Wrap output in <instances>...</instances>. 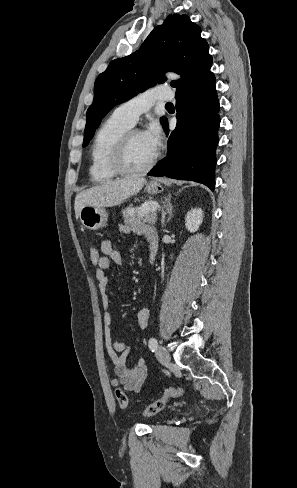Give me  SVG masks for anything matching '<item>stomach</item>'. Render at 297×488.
I'll list each match as a JSON object with an SVG mask.
<instances>
[{"instance_id":"obj_1","label":"stomach","mask_w":297,"mask_h":488,"mask_svg":"<svg viewBox=\"0 0 297 488\" xmlns=\"http://www.w3.org/2000/svg\"><path fill=\"white\" fill-rule=\"evenodd\" d=\"M145 191L149 194H158L163 191V186L157 182H149ZM79 218L83 226L90 230H98L102 228L108 220V212L103 207L84 206L80 213Z\"/></svg>"}]
</instances>
